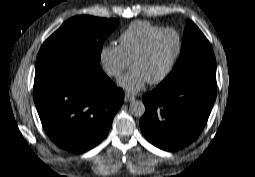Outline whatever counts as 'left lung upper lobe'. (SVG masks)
<instances>
[{"label": "left lung upper lobe", "mask_w": 255, "mask_h": 177, "mask_svg": "<svg viewBox=\"0 0 255 177\" xmlns=\"http://www.w3.org/2000/svg\"><path fill=\"white\" fill-rule=\"evenodd\" d=\"M215 68V55L210 43L199 28L192 21H188L179 60L172 72L160 84L173 82L201 69Z\"/></svg>", "instance_id": "obj_1"}]
</instances>
